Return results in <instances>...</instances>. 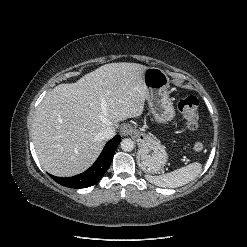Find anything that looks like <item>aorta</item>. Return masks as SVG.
Returning a JSON list of instances; mask_svg holds the SVG:
<instances>
[{
  "mask_svg": "<svg viewBox=\"0 0 247 247\" xmlns=\"http://www.w3.org/2000/svg\"><path fill=\"white\" fill-rule=\"evenodd\" d=\"M120 147L123 151L130 152L134 149V142L130 138H125L121 141Z\"/></svg>",
  "mask_w": 247,
  "mask_h": 247,
  "instance_id": "1",
  "label": "aorta"
}]
</instances>
